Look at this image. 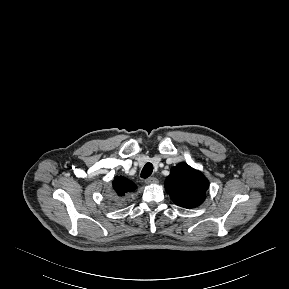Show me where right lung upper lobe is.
<instances>
[{
	"mask_svg": "<svg viewBox=\"0 0 289 289\" xmlns=\"http://www.w3.org/2000/svg\"><path fill=\"white\" fill-rule=\"evenodd\" d=\"M136 188V184L123 176H116L113 181V189L119 196H123L125 193L132 192Z\"/></svg>",
	"mask_w": 289,
	"mask_h": 289,
	"instance_id": "1",
	"label": "right lung upper lobe"
}]
</instances>
